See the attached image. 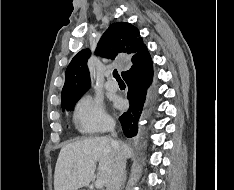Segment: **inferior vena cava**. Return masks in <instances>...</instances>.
I'll use <instances>...</instances> for the list:
<instances>
[{"label":"inferior vena cava","mask_w":234,"mask_h":190,"mask_svg":"<svg viewBox=\"0 0 234 190\" xmlns=\"http://www.w3.org/2000/svg\"><path fill=\"white\" fill-rule=\"evenodd\" d=\"M115 123L110 125L109 130L112 133L113 137H116V133L114 132ZM111 144L114 149V163L112 166L111 174L109 181L106 185V190H120L126 166V159L122 148L119 143L113 139H111Z\"/></svg>","instance_id":"1"}]
</instances>
